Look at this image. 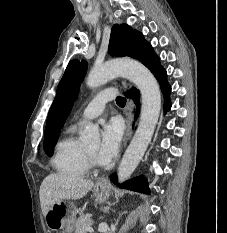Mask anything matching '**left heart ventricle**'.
<instances>
[{
    "instance_id": "obj_1",
    "label": "left heart ventricle",
    "mask_w": 227,
    "mask_h": 233,
    "mask_svg": "<svg viewBox=\"0 0 227 233\" xmlns=\"http://www.w3.org/2000/svg\"><path fill=\"white\" fill-rule=\"evenodd\" d=\"M91 154L96 156L97 150H98V146H93L87 149Z\"/></svg>"
}]
</instances>
